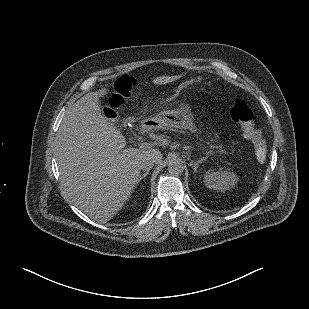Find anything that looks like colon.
<instances>
[{
  "label": "colon",
  "mask_w": 309,
  "mask_h": 309,
  "mask_svg": "<svg viewBox=\"0 0 309 309\" xmlns=\"http://www.w3.org/2000/svg\"><path fill=\"white\" fill-rule=\"evenodd\" d=\"M135 84L136 80L132 76L119 77L106 95L107 104L104 110L108 113H115L120 109L130 96ZM230 116L239 124L243 134L252 141L256 157L264 161L267 157V145L261 131L254 123L253 112L248 104L243 100H237L230 111Z\"/></svg>",
  "instance_id": "colon-1"
}]
</instances>
